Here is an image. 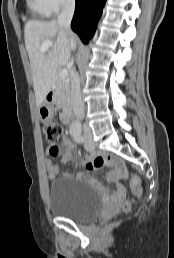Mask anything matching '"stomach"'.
<instances>
[{"mask_svg":"<svg viewBox=\"0 0 174 258\" xmlns=\"http://www.w3.org/2000/svg\"><path fill=\"white\" fill-rule=\"evenodd\" d=\"M39 117L42 121H50L54 117V104L47 96L39 107Z\"/></svg>","mask_w":174,"mask_h":258,"instance_id":"stomach-1","label":"stomach"}]
</instances>
